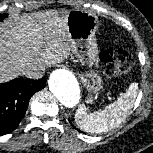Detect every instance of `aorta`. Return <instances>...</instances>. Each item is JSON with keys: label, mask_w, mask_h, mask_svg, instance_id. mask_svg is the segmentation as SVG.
Wrapping results in <instances>:
<instances>
[{"label": "aorta", "mask_w": 153, "mask_h": 153, "mask_svg": "<svg viewBox=\"0 0 153 153\" xmlns=\"http://www.w3.org/2000/svg\"><path fill=\"white\" fill-rule=\"evenodd\" d=\"M49 89L66 108L74 107L80 99V87L76 77L67 71L52 74L48 81Z\"/></svg>", "instance_id": "762f6f07"}]
</instances>
